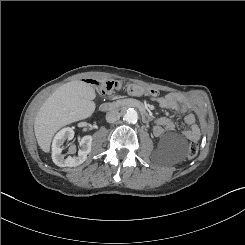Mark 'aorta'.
<instances>
[{
    "mask_svg": "<svg viewBox=\"0 0 245 245\" xmlns=\"http://www.w3.org/2000/svg\"><path fill=\"white\" fill-rule=\"evenodd\" d=\"M124 120L128 123H135L138 120V113L134 109H128L124 114Z\"/></svg>",
    "mask_w": 245,
    "mask_h": 245,
    "instance_id": "aorta-1",
    "label": "aorta"
}]
</instances>
